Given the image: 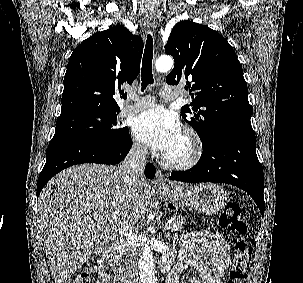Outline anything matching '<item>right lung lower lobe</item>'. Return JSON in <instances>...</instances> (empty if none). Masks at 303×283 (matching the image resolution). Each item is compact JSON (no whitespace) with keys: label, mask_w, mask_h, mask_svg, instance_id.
<instances>
[{"label":"right lung lower lobe","mask_w":303,"mask_h":283,"mask_svg":"<svg viewBox=\"0 0 303 283\" xmlns=\"http://www.w3.org/2000/svg\"><path fill=\"white\" fill-rule=\"evenodd\" d=\"M132 147L129 135L114 142L96 141L85 138H67L51 141L48 146L47 159L37 183V196L44 185L58 172L76 164L98 163L118 164ZM145 176L153 179L155 167L148 163Z\"/></svg>","instance_id":"right-lung-lower-lobe-1"}]
</instances>
